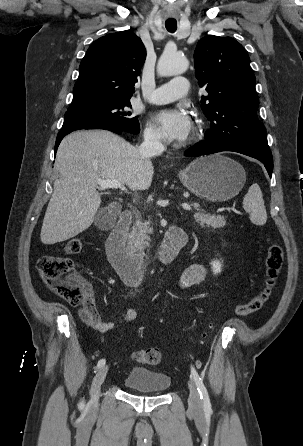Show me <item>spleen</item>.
Returning a JSON list of instances; mask_svg holds the SVG:
<instances>
[{
  "label": "spleen",
  "mask_w": 303,
  "mask_h": 446,
  "mask_svg": "<svg viewBox=\"0 0 303 446\" xmlns=\"http://www.w3.org/2000/svg\"><path fill=\"white\" fill-rule=\"evenodd\" d=\"M243 208L250 215L253 224L264 225L267 221L263 195L258 184H252L243 200Z\"/></svg>",
  "instance_id": "spleen-1"
}]
</instances>
